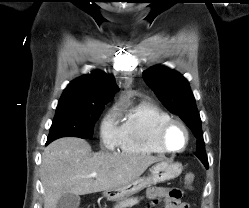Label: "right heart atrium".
I'll return each instance as SVG.
<instances>
[{
	"label": "right heart atrium",
	"mask_w": 249,
	"mask_h": 208,
	"mask_svg": "<svg viewBox=\"0 0 249 208\" xmlns=\"http://www.w3.org/2000/svg\"><path fill=\"white\" fill-rule=\"evenodd\" d=\"M117 109H110L103 117L100 125L102 144L107 149H114L120 144V126L117 123Z\"/></svg>",
	"instance_id": "1"
}]
</instances>
